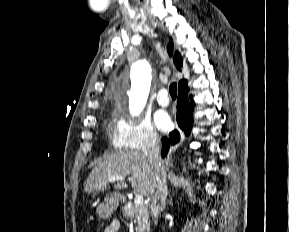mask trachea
<instances>
[{
	"instance_id": "3493384b",
	"label": "trachea",
	"mask_w": 289,
	"mask_h": 232,
	"mask_svg": "<svg viewBox=\"0 0 289 232\" xmlns=\"http://www.w3.org/2000/svg\"><path fill=\"white\" fill-rule=\"evenodd\" d=\"M169 92L172 98L177 97V84L176 83H171L169 87Z\"/></svg>"
}]
</instances>
